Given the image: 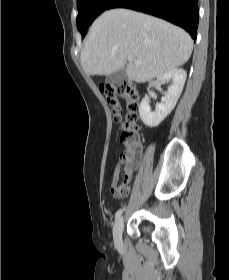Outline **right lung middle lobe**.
Listing matches in <instances>:
<instances>
[{"label":"right lung middle lobe","mask_w":229,"mask_h":280,"mask_svg":"<svg viewBox=\"0 0 229 280\" xmlns=\"http://www.w3.org/2000/svg\"><path fill=\"white\" fill-rule=\"evenodd\" d=\"M114 0H77L78 16L77 28L82 37L85 36L88 27L103 11L107 10Z\"/></svg>","instance_id":"dd1d6c3e"}]
</instances>
